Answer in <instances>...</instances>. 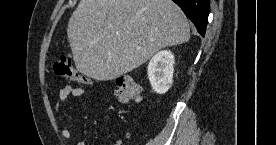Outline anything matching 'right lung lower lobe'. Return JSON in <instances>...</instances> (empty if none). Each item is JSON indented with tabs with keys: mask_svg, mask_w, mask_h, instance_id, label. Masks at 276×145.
Returning <instances> with one entry per match:
<instances>
[{
	"mask_svg": "<svg viewBox=\"0 0 276 145\" xmlns=\"http://www.w3.org/2000/svg\"><path fill=\"white\" fill-rule=\"evenodd\" d=\"M204 36L209 15L210 0H173Z\"/></svg>",
	"mask_w": 276,
	"mask_h": 145,
	"instance_id": "right-lung-lower-lobe-1",
	"label": "right lung lower lobe"
}]
</instances>
